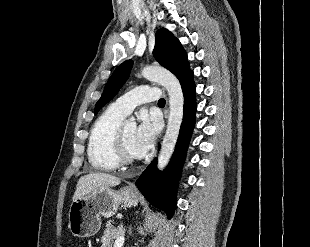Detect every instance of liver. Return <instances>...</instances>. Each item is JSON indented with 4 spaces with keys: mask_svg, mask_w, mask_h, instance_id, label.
I'll return each instance as SVG.
<instances>
[{
    "mask_svg": "<svg viewBox=\"0 0 310 247\" xmlns=\"http://www.w3.org/2000/svg\"><path fill=\"white\" fill-rule=\"evenodd\" d=\"M120 182V178L108 173L95 172L86 174L78 180L72 199L76 200L87 196L98 188L117 186Z\"/></svg>",
    "mask_w": 310,
    "mask_h": 247,
    "instance_id": "6515ba94",
    "label": "liver"
}]
</instances>
